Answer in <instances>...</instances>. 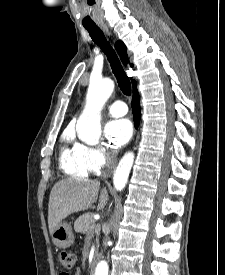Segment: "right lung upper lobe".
<instances>
[{"label": "right lung upper lobe", "instance_id": "obj_1", "mask_svg": "<svg viewBox=\"0 0 225 275\" xmlns=\"http://www.w3.org/2000/svg\"><path fill=\"white\" fill-rule=\"evenodd\" d=\"M115 47H116L118 54L120 55L122 62L124 64H127L128 56H127V49H126V46L124 45V43L122 41H118L116 43ZM132 85H133V87H136V82L133 81Z\"/></svg>", "mask_w": 225, "mask_h": 275}]
</instances>
